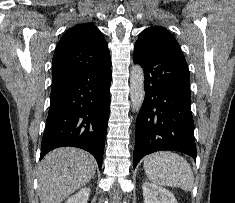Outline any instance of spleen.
Instances as JSON below:
<instances>
[{
    "instance_id": "spleen-1",
    "label": "spleen",
    "mask_w": 235,
    "mask_h": 203,
    "mask_svg": "<svg viewBox=\"0 0 235 203\" xmlns=\"http://www.w3.org/2000/svg\"><path fill=\"white\" fill-rule=\"evenodd\" d=\"M144 170L149 180L160 186L191 191L194 175L190 164L172 152H157L144 158Z\"/></svg>"
}]
</instances>
